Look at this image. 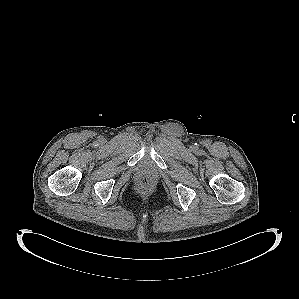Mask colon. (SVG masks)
I'll use <instances>...</instances> for the list:
<instances>
[{"mask_svg":"<svg viewBox=\"0 0 299 299\" xmlns=\"http://www.w3.org/2000/svg\"><path fill=\"white\" fill-rule=\"evenodd\" d=\"M139 182L141 184V186H148L150 185L151 183V178L149 176H142L140 179H139Z\"/></svg>","mask_w":299,"mask_h":299,"instance_id":"1","label":"colon"}]
</instances>
